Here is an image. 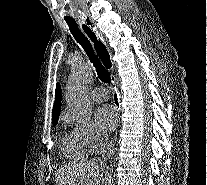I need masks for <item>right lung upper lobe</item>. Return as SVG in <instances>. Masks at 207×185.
<instances>
[{
  "label": "right lung upper lobe",
  "instance_id": "right-lung-upper-lobe-1",
  "mask_svg": "<svg viewBox=\"0 0 207 185\" xmlns=\"http://www.w3.org/2000/svg\"><path fill=\"white\" fill-rule=\"evenodd\" d=\"M60 109H61V87L60 84L58 83L56 86L55 102H54L53 113H52L53 126H55L58 122Z\"/></svg>",
  "mask_w": 207,
  "mask_h": 185
}]
</instances>
